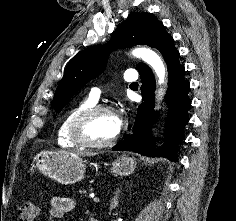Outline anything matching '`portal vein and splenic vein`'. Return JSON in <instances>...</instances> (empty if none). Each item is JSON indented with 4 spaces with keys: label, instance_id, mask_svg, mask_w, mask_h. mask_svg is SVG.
<instances>
[{
    "label": "portal vein and splenic vein",
    "instance_id": "1",
    "mask_svg": "<svg viewBox=\"0 0 236 221\" xmlns=\"http://www.w3.org/2000/svg\"><path fill=\"white\" fill-rule=\"evenodd\" d=\"M93 201H94V202H99L100 199H99L98 197H93Z\"/></svg>",
    "mask_w": 236,
    "mask_h": 221
}]
</instances>
